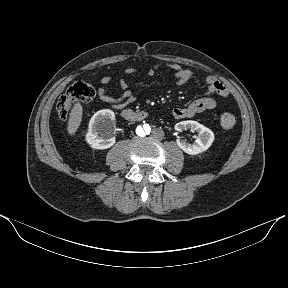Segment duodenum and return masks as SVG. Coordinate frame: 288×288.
<instances>
[{
  "label": "duodenum",
  "mask_w": 288,
  "mask_h": 288,
  "mask_svg": "<svg viewBox=\"0 0 288 288\" xmlns=\"http://www.w3.org/2000/svg\"><path fill=\"white\" fill-rule=\"evenodd\" d=\"M122 116L129 121H141L147 118L148 113L144 110L134 111L132 109H124L122 111Z\"/></svg>",
  "instance_id": "obj_1"
}]
</instances>
